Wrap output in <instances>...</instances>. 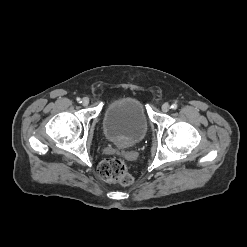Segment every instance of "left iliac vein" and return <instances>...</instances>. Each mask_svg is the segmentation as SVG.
<instances>
[{
	"mask_svg": "<svg viewBox=\"0 0 247 247\" xmlns=\"http://www.w3.org/2000/svg\"><path fill=\"white\" fill-rule=\"evenodd\" d=\"M163 112H168L170 110V105L168 103H164L161 107Z\"/></svg>",
	"mask_w": 247,
	"mask_h": 247,
	"instance_id": "4c4485c4",
	"label": "left iliac vein"
}]
</instances>
